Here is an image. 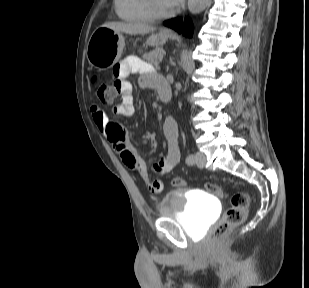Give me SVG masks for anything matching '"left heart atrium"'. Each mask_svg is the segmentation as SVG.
I'll list each match as a JSON object with an SVG mask.
<instances>
[{"instance_id":"39dd6f15","label":"left heart atrium","mask_w":309,"mask_h":288,"mask_svg":"<svg viewBox=\"0 0 309 288\" xmlns=\"http://www.w3.org/2000/svg\"><path fill=\"white\" fill-rule=\"evenodd\" d=\"M170 8L177 7L181 4L183 0H165Z\"/></svg>"}]
</instances>
